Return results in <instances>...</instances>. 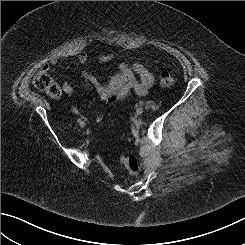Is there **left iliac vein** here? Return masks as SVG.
<instances>
[{"mask_svg":"<svg viewBox=\"0 0 245 245\" xmlns=\"http://www.w3.org/2000/svg\"><path fill=\"white\" fill-rule=\"evenodd\" d=\"M144 112V109L142 107H137L136 108V113L137 114H142Z\"/></svg>","mask_w":245,"mask_h":245,"instance_id":"4c4485c4","label":"left iliac vein"}]
</instances>
